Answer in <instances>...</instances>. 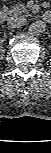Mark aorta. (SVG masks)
<instances>
[{"instance_id": "762f6f07", "label": "aorta", "mask_w": 51, "mask_h": 153, "mask_svg": "<svg viewBox=\"0 0 51 153\" xmlns=\"http://www.w3.org/2000/svg\"><path fill=\"white\" fill-rule=\"evenodd\" d=\"M45 31L46 24L41 20L34 21L28 27V33L33 37H39L43 35Z\"/></svg>"}]
</instances>
